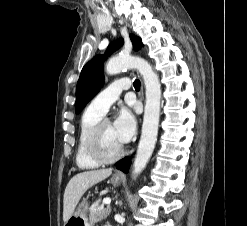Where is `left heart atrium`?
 <instances>
[{"mask_svg": "<svg viewBox=\"0 0 247 226\" xmlns=\"http://www.w3.org/2000/svg\"><path fill=\"white\" fill-rule=\"evenodd\" d=\"M114 133L121 144L128 143L135 134L136 120L129 107H122L113 124Z\"/></svg>", "mask_w": 247, "mask_h": 226, "instance_id": "1", "label": "left heart atrium"}]
</instances>
